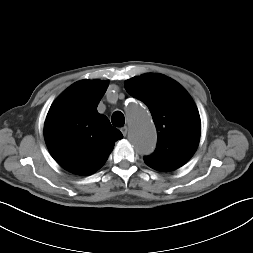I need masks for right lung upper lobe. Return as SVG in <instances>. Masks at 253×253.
<instances>
[{
	"label": "right lung upper lobe",
	"mask_w": 253,
	"mask_h": 253,
	"mask_svg": "<svg viewBox=\"0 0 253 253\" xmlns=\"http://www.w3.org/2000/svg\"><path fill=\"white\" fill-rule=\"evenodd\" d=\"M108 81L81 80L67 88L53 103L44 125L47 147L67 171L89 175L100 169L114 143L123 138L108 118L97 112Z\"/></svg>",
	"instance_id": "right-lung-upper-lobe-1"
}]
</instances>
